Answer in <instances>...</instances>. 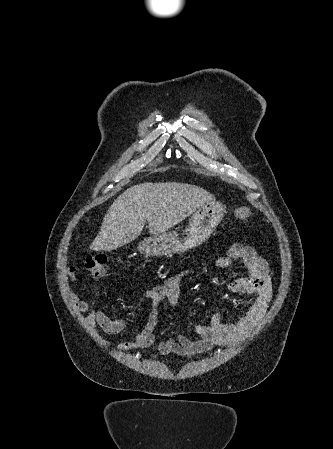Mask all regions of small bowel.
<instances>
[{
    "instance_id": "small-bowel-1",
    "label": "small bowel",
    "mask_w": 333,
    "mask_h": 449,
    "mask_svg": "<svg viewBox=\"0 0 333 449\" xmlns=\"http://www.w3.org/2000/svg\"><path fill=\"white\" fill-rule=\"evenodd\" d=\"M238 259L248 270L245 278L230 277L226 283L233 292L254 294L245 314L236 322L226 323L221 319L220 310H216L207 324H196L193 328L198 340H192L182 334H174L166 340L156 343L154 328L157 322L158 308L164 300L176 304L179 300V285L188 275L177 273L168 278L162 285L155 286L145 292L149 300V311L140 332L132 339L117 346V350L128 352L139 348H151L159 355L194 356L206 352L213 344L231 346L244 340L263 318L272 296V272L266 262L249 246L235 244L231 246L226 257L219 258L217 265L229 267L232 260ZM71 281H76V267L68 268ZM102 275H96L97 278ZM70 299L77 311L87 313V321L91 326H99L106 334L115 335L125 328L123 319H112L102 310H91L90 303L82 299L78 291L69 290Z\"/></svg>"
}]
</instances>
